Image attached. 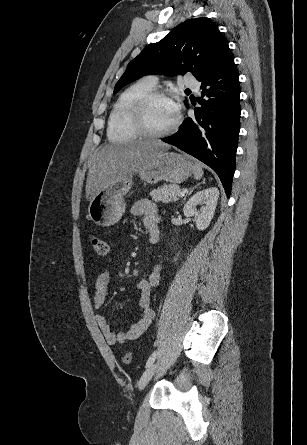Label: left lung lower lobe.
Wrapping results in <instances>:
<instances>
[{
    "instance_id": "obj_1",
    "label": "left lung lower lobe",
    "mask_w": 307,
    "mask_h": 445,
    "mask_svg": "<svg viewBox=\"0 0 307 445\" xmlns=\"http://www.w3.org/2000/svg\"><path fill=\"white\" fill-rule=\"evenodd\" d=\"M201 89L202 107L195 108V118H186L174 135L162 140L210 166L230 197L241 112L234 56L202 80Z\"/></svg>"
}]
</instances>
